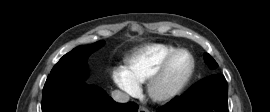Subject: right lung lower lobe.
<instances>
[{"label": "right lung lower lobe", "mask_w": 270, "mask_h": 112, "mask_svg": "<svg viewBox=\"0 0 270 112\" xmlns=\"http://www.w3.org/2000/svg\"><path fill=\"white\" fill-rule=\"evenodd\" d=\"M138 105L116 103L107 93L84 81L48 82L43 88L42 112H137Z\"/></svg>", "instance_id": "98d812e1"}]
</instances>
